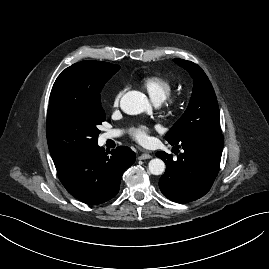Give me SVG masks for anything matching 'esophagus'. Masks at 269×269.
Masks as SVG:
<instances>
[{"mask_svg":"<svg viewBox=\"0 0 269 269\" xmlns=\"http://www.w3.org/2000/svg\"><path fill=\"white\" fill-rule=\"evenodd\" d=\"M151 158L152 156L148 153H143L138 157L139 160H146V159H151Z\"/></svg>","mask_w":269,"mask_h":269,"instance_id":"34e87169","label":"esophagus"}]
</instances>
